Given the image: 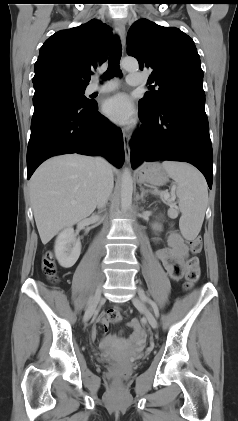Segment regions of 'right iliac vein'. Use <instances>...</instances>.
Returning a JSON list of instances; mask_svg holds the SVG:
<instances>
[{
	"instance_id": "1",
	"label": "right iliac vein",
	"mask_w": 238,
	"mask_h": 421,
	"mask_svg": "<svg viewBox=\"0 0 238 421\" xmlns=\"http://www.w3.org/2000/svg\"><path fill=\"white\" fill-rule=\"evenodd\" d=\"M101 292H102V285L100 284V285L97 287V289H96V292H95L94 298H93V300H92V302H91L90 306L88 307V309H87V310H86V312H85V315H84V318H83L84 322L89 321V320H90V318L93 316V314H94V312H95V310H96L97 304H98V302H99V300H100V297H101Z\"/></svg>"
}]
</instances>
